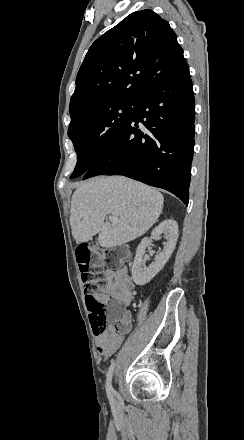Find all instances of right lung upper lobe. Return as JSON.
I'll list each match as a JSON object with an SVG mask.
<instances>
[{
	"mask_svg": "<svg viewBox=\"0 0 244 440\" xmlns=\"http://www.w3.org/2000/svg\"><path fill=\"white\" fill-rule=\"evenodd\" d=\"M185 62L166 20L150 9L133 12L89 48L69 111L107 98H140L155 76Z\"/></svg>",
	"mask_w": 244,
	"mask_h": 440,
	"instance_id": "obj_1",
	"label": "right lung upper lobe"
}]
</instances>
